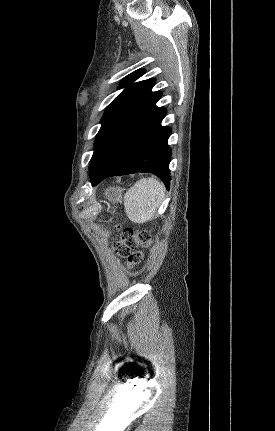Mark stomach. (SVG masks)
<instances>
[{
  "instance_id": "obj_1",
  "label": "stomach",
  "mask_w": 275,
  "mask_h": 431,
  "mask_svg": "<svg viewBox=\"0 0 275 431\" xmlns=\"http://www.w3.org/2000/svg\"><path fill=\"white\" fill-rule=\"evenodd\" d=\"M107 196L110 201L118 202L121 199L122 190L111 188L107 190Z\"/></svg>"
}]
</instances>
